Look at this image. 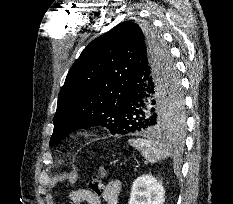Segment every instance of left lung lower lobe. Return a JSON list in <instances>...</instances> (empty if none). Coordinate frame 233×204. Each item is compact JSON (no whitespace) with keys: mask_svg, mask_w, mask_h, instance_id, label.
<instances>
[{"mask_svg":"<svg viewBox=\"0 0 233 204\" xmlns=\"http://www.w3.org/2000/svg\"><path fill=\"white\" fill-rule=\"evenodd\" d=\"M178 83L176 69L172 74L167 70L164 53L152 55L148 50H139L117 114L116 122L122 135L160 131L157 115L159 101L171 85L176 87Z\"/></svg>","mask_w":233,"mask_h":204,"instance_id":"obj_1","label":"left lung lower lobe"}]
</instances>
